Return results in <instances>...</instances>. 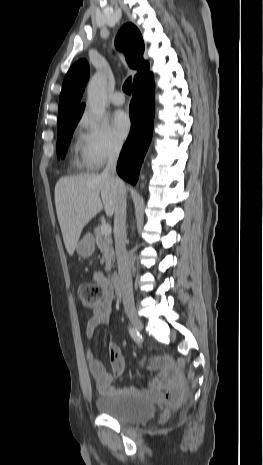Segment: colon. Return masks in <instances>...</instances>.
Returning <instances> with one entry per match:
<instances>
[{
  "label": "colon",
  "mask_w": 263,
  "mask_h": 465,
  "mask_svg": "<svg viewBox=\"0 0 263 465\" xmlns=\"http://www.w3.org/2000/svg\"><path fill=\"white\" fill-rule=\"evenodd\" d=\"M104 296V290L99 285L85 283L78 289V298L81 304L87 308L92 309L98 305Z\"/></svg>",
  "instance_id": "1"
}]
</instances>
